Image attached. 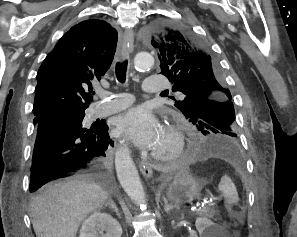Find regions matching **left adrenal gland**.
Masks as SVG:
<instances>
[{"label": "left adrenal gland", "instance_id": "left-adrenal-gland-1", "mask_svg": "<svg viewBox=\"0 0 297 237\" xmlns=\"http://www.w3.org/2000/svg\"><path fill=\"white\" fill-rule=\"evenodd\" d=\"M165 205H164V210L166 213H168L170 210H172L173 208H176V206L173 205H168L167 200L164 199ZM178 209V207H177Z\"/></svg>", "mask_w": 297, "mask_h": 237}]
</instances>
